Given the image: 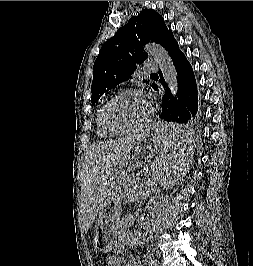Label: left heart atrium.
Returning <instances> with one entry per match:
<instances>
[{
    "label": "left heart atrium",
    "mask_w": 253,
    "mask_h": 266,
    "mask_svg": "<svg viewBox=\"0 0 253 266\" xmlns=\"http://www.w3.org/2000/svg\"><path fill=\"white\" fill-rule=\"evenodd\" d=\"M146 100H147V102L149 103L150 108H151V107H152V103H153V99H152V97H148Z\"/></svg>",
    "instance_id": "1"
}]
</instances>
